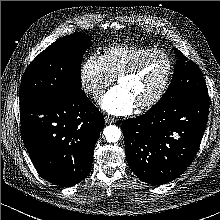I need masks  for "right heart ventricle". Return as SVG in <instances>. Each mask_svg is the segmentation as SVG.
Instances as JSON below:
<instances>
[{"instance_id":"right-heart-ventricle-1","label":"right heart ventricle","mask_w":220,"mask_h":220,"mask_svg":"<svg viewBox=\"0 0 220 220\" xmlns=\"http://www.w3.org/2000/svg\"><path fill=\"white\" fill-rule=\"evenodd\" d=\"M155 48L139 44H118L105 47L101 60L112 78L117 77L141 55Z\"/></svg>"}]
</instances>
